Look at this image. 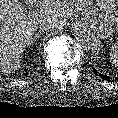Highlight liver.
Masks as SVG:
<instances>
[{
	"mask_svg": "<svg viewBox=\"0 0 118 118\" xmlns=\"http://www.w3.org/2000/svg\"><path fill=\"white\" fill-rule=\"evenodd\" d=\"M93 0H25L30 6L40 7L43 12L24 13L18 0H0V72L11 74L21 68V58L26 46L38 29V21L48 17L59 25L74 13L86 11Z\"/></svg>",
	"mask_w": 118,
	"mask_h": 118,
	"instance_id": "obj_1",
	"label": "liver"
}]
</instances>
